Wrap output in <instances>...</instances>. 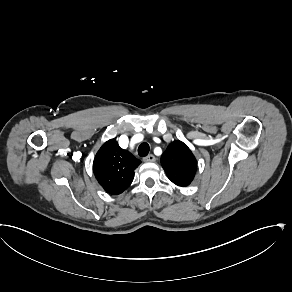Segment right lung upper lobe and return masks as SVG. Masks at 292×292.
Returning <instances> with one entry per match:
<instances>
[{
    "label": "right lung upper lobe",
    "mask_w": 292,
    "mask_h": 292,
    "mask_svg": "<svg viewBox=\"0 0 292 292\" xmlns=\"http://www.w3.org/2000/svg\"><path fill=\"white\" fill-rule=\"evenodd\" d=\"M140 163L130 152L121 149L115 139H110L97 152L93 171L106 192L118 195L132 183L134 170Z\"/></svg>",
    "instance_id": "1"
}]
</instances>
